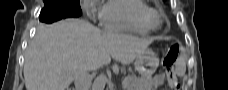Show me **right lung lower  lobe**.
<instances>
[{
    "label": "right lung lower lobe",
    "mask_w": 228,
    "mask_h": 90,
    "mask_svg": "<svg viewBox=\"0 0 228 90\" xmlns=\"http://www.w3.org/2000/svg\"><path fill=\"white\" fill-rule=\"evenodd\" d=\"M68 18V16L64 15L63 13H60L56 6H45L43 10L40 13L39 19L42 22L46 23H52L57 20Z\"/></svg>",
    "instance_id": "98d812e1"
}]
</instances>
